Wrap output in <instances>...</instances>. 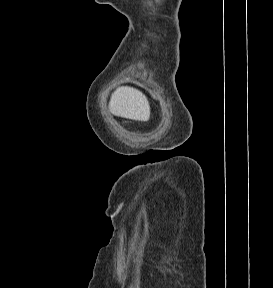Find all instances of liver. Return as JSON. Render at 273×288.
<instances>
[{
  "mask_svg": "<svg viewBox=\"0 0 273 288\" xmlns=\"http://www.w3.org/2000/svg\"><path fill=\"white\" fill-rule=\"evenodd\" d=\"M109 111L118 117L148 121L150 105L147 97L138 89L128 86L118 87L111 95Z\"/></svg>",
  "mask_w": 273,
  "mask_h": 288,
  "instance_id": "liver-1",
  "label": "liver"
}]
</instances>
